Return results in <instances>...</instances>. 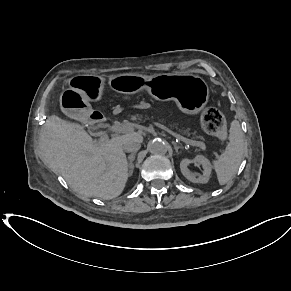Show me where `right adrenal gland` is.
<instances>
[{
    "label": "right adrenal gland",
    "mask_w": 291,
    "mask_h": 291,
    "mask_svg": "<svg viewBox=\"0 0 291 291\" xmlns=\"http://www.w3.org/2000/svg\"><path fill=\"white\" fill-rule=\"evenodd\" d=\"M135 155H136V152H133L131 153L129 156H128V168H129V174L132 175L133 173V170H134V164H133V161L135 159Z\"/></svg>",
    "instance_id": "1"
}]
</instances>
